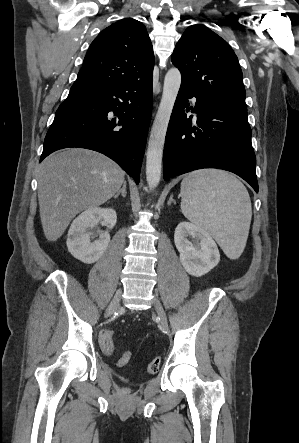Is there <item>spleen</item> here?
Here are the masks:
<instances>
[{
	"instance_id": "spleen-1",
	"label": "spleen",
	"mask_w": 299,
	"mask_h": 443,
	"mask_svg": "<svg viewBox=\"0 0 299 443\" xmlns=\"http://www.w3.org/2000/svg\"><path fill=\"white\" fill-rule=\"evenodd\" d=\"M181 210L195 225L209 232L230 259L243 252L252 207L245 186L220 170L190 173L181 182Z\"/></svg>"
}]
</instances>
